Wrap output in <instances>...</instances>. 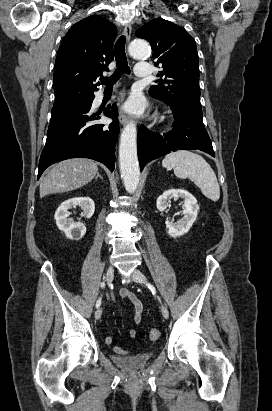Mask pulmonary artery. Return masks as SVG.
<instances>
[{
  "label": "pulmonary artery",
  "mask_w": 272,
  "mask_h": 411,
  "mask_svg": "<svg viewBox=\"0 0 272 411\" xmlns=\"http://www.w3.org/2000/svg\"><path fill=\"white\" fill-rule=\"evenodd\" d=\"M135 74L140 78H148L150 76V65L143 62L138 63L135 68Z\"/></svg>",
  "instance_id": "pulmonary-artery-1"
}]
</instances>
